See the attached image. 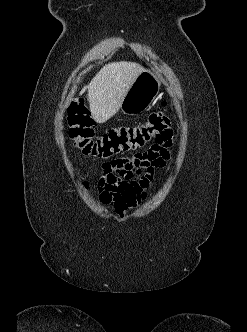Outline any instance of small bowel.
<instances>
[{
    "label": "small bowel",
    "instance_id": "1",
    "mask_svg": "<svg viewBox=\"0 0 247 332\" xmlns=\"http://www.w3.org/2000/svg\"><path fill=\"white\" fill-rule=\"evenodd\" d=\"M169 142L154 145L147 152L121 157L102 164L98 181L101 203L118 213L136 207L147 196L157 171L170 158Z\"/></svg>",
    "mask_w": 247,
    "mask_h": 332
}]
</instances>
